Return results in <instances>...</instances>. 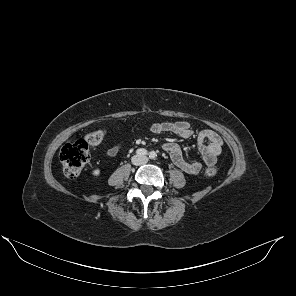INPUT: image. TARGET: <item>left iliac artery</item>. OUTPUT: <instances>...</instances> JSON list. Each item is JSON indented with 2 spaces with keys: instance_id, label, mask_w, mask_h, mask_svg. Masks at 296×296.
Listing matches in <instances>:
<instances>
[{
  "instance_id": "44dca946",
  "label": "left iliac artery",
  "mask_w": 296,
  "mask_h": 296,
  "mask_svg": "<svg viewBox=\"0 0 296 296\" xmlns=\"http://www.w3.org/2000/svg\"><path fill=\"white\" fill-rule=\"evenodd\" d=\"M156 156H157V154L154 151L149 153V158H151V159H155Z\"/></svg>"
}]
</instances>
